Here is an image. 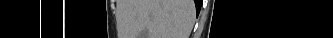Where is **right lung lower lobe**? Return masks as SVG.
<instances>
[{"label": "right lung lower lobe", "mask_w": 333, "mask_h": 38, "mask_svg": "<svg viewBox=\"0 0 333 38\" xmlns=\"http://www.w3.org/2000/svg\"><path fill=\"white\" fill-rule=\"evenodd\" d=\"M194 1H195V4H196V8H198V6L200 5V2L196 1V0H194Z\"/></svg>", "instance_id": "98d812e1"}]
</instances>
